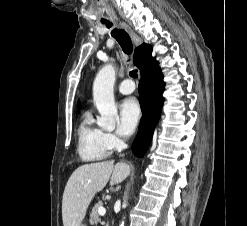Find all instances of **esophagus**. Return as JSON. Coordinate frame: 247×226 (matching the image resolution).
Instances as JSON below:
<instances>
[{
    "label": "esophagus",
    "instance_id": "34e87169",
    "mask_svg": "<svg viewBox=\"0 0 247 226\" xmlns=\"http://www.w3.org/2000/svg\"><path fill=\"white\" fill-rule=\"evenodd\" d=\"M121 25L128 32V34L130 35V37L133 40L134 44L135 45H139V38L135 34V32L131 29V27L129 25H127L126 23H124V22H122Z\"/></svg>",
    "mask_w": 247,
    "mask_h": 226
}]
</instances>
